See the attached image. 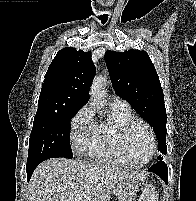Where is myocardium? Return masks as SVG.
Instances as JSON below:
<instances>
[{
  "instance_id": "obj_1",
  "label": "myocardium",
  "mask_w": 196,
  "mask_h": 201,
  "mask_svg": "<svg viewBox=\"0 0 196 201\" xmlns=\"http://www.w3.org/2000/svg\"><path fill=\"white\" fill-rule=\"evenodd\" d=\"M138 124L144 126L150 134L151 151H150L148 158L145 161H143L141 163H134L130 158L129 147H128V137H129V133L132 130V128ZM120 145H121V149H122L123 154L125 155L128 163L134 167H144V166L148 165L154 158V156L157 152V146H158L156 133H155L153 127L147 121L140 119V118H133L122 126L121 131H120Z\"/></svg>"
}]
</instances>
